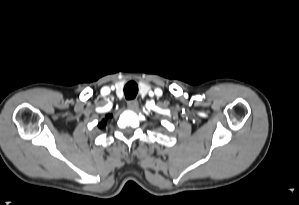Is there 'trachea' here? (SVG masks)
I'll return each mask as SVG.
<instances>
[{
	"label": "trachea",
	"instance_id": "obj_1",
	"mask_svg": "<svg viewBox=\"0 0 299 205\" xmlns=\"http://www.w3.org/2000/svg\"><path fill=\"white\" fill-rule=\"evenodd\" d=\"M138 93V85L134 81L128 82L124 86V94L127 100H132Z\"/></svg>",
	"mask_w": 299,
	"mask_h": 205
}]
</instances>
